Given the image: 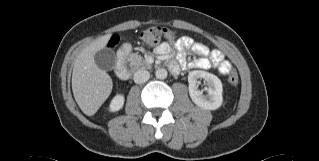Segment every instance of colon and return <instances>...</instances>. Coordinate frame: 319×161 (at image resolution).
Listing matches in <instances>:
<instances>
[{"label":"colon","instance_id":"obj_1","mask_svg":"<svg viewBox=\"0 0 319 161\" xmlns=\"http://www.w3.org/2000/svg\"><path fill=\"white\" fill-rule=\"evenodd\" d=\"M141 38L145 43L149 45H155L162 40L175 41L177 38V33L174 30L156 26L143 31ZM229 82L233 86L237 85L238 75L235 72H231L229 74Z\"/></svg>","mask_w":319,"mask_h":161}]
</instances>
